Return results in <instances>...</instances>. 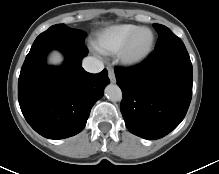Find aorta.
<instances>
[{
	"instance_id": "obj_1",
	"label": "aorta",
	"mask_w": 219,
	"mask_h": 174,
	"mask_svg": "<svg viewBox=\"0 0 219 174\" xmlns=\"http://www.w3.org/2000/svg\"><path fill=\"white\" fill-rule=\"evenodd\" d=\"M105 96L112 102H118L122 100V91L119 86L115 84H109L105 88Z\"/></svg>"
}]
</instances>
